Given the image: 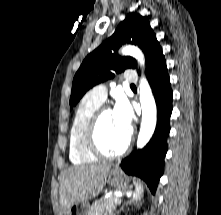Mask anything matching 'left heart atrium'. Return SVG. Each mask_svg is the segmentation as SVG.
Listing matches in <instances>:
<instances>
[{
  "mask_svg": "<svg viewBox=\"0 0 221 215\" xmlns=\"http://www.w3.org/2000/svg\"><path fill=\"white\" fill-rule=\"evenodd\" d=\"M113 113L120 127L130 133L133 112L129 102L123 97L118 98Z\"/></svg>",
  "mask_w": 221,
  "mask_h": 215,
  "instance_id": "obj_1",
  "label": "left heart atrium"
}]
</instances>
